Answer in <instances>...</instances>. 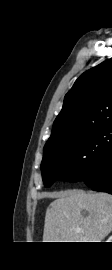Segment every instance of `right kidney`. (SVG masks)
<instances>
[{"instance_id":"1","label":"right kidney","mask_w":112,"mask_h":270,"mask_svg":"<svg viewBox=\"0 0 112 270\" xmlns=\"http://www.w3.org/2000/svg\"><path fill=\"white\" fill-rule=\"evenodd\" d=\"M106 242H112V235L108 238Z\"/></svg>"}]
</instances>
